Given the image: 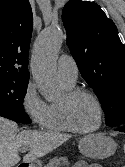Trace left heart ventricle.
Masks as SVG:
<instances>
[{
    "instance_id": "1",
    "label": "left heart ventricle",
    "mask_w": 125,
    "mask_h": 167,
    "mask_svg": "<svg viewBox=\"0 0 125 167\" xmlns=\"http://www.w3.org/2000/svg\"><path fill=\"white\" fill-rule=\"evenodd\" d=\"M72 116L75 124L81 129L93 128L99 121V112L95 102L85 95L78 97L73 102Z\"/></svg>"
}]
</instances>
